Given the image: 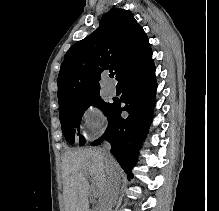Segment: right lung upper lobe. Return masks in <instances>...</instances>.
Here are the masks:
<instances>
[{
	"mask_svg": "<svg viewBox=\"0 0 219 211\" xmlns=\"http://www.w3.org/2000/svg\"><path fill=\"white\" fill-rule=\"evenodd\" d=\"M152 58L143 28L132 13L114 8L99 27L66 53L57 79L59 105L100 94L99 81L114 70L118 82Z\"/></svg>",
	"mask_w": 219,
	"mask_h": 211,
	"instance_id": "right-lung-upper-lobe-1",
	"label": "right lung upper lobe"
}]
</instances>
